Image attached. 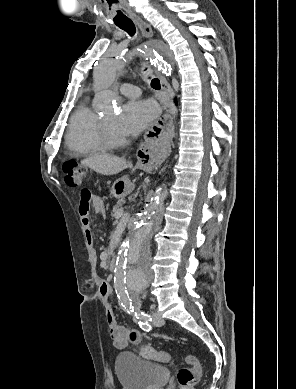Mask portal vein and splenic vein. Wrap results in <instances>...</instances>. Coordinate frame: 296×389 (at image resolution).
I'll return each instance as SVG.
<instances>
[{
  "mask_svg": "<svg viewBox=\"0 0 296 389\" xmlns=\"http://www.w3.org/2000/svg\"><path fill=\"white\" fill-rule=\"evenodd\" d=\"M123 212H124V210H123V209H120V210L116 213V216H115L116 220H118V219H120V218L122 217Z\"/></svg>",
  "mask_w": 296,
  "mask_h": 389,
  "instance_id": "obj_1",
  "label": "portal vein and splenic vein"
}]
</instances>
